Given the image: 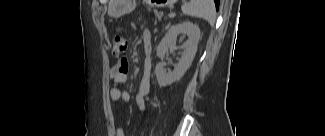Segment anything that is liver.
Instances as JSON below:
<instances>
[{
    "mask_svg": "<svg viewBox=\"0 0 325 136\" xmlns=\"http://www.w3.org/2000/svg\"><path fill=\"white\" fill-rule=\"evenodd\" d=\"M112 0L110 1V3H109V14L111 15V16H113V14H112Z\"/></svg>",
    "mask_w": 325,
    "mask_h": 136,
    "instance_id": "1",
    "label": "liver"
}]
</instances>
